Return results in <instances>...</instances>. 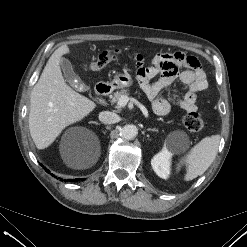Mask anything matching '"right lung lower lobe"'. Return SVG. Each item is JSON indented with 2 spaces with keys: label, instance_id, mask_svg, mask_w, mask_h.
Wrapping results in <instances>:
<instances>
[{
  "label": "right lung lower lobe",
  "instance_id": "right-lung-lower-lobe-1",
  "mask_svg": "<svg viewBox=\"0 0 247 247\" xmlns=\"http://www.w3.org/2000/svg\"><path fill=\"white\" fill-rule=\"evenodd\" d=\"M41 165V164H40ZM42 166V165H41ZM48 173H49V170H47L46 168H44ZM53 176V175H52ZM80 179H75L73 181H79Z\"/></svg>",
  "mask_w": 247,
  "mask_h": 247
}]
</instances>
